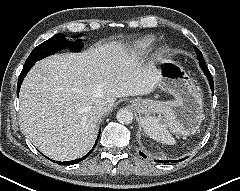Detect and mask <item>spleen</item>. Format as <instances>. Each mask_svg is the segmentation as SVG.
Masks as SVG:
<instances>
[{
    "label": "spleen",
    "instance_id": "3e777b00",
    "mask_svg": "<svg viewBox=\"0 0 240 191\" xmlns=\"http://www.w3.org/2000/svg\"><path fill=\"white\" fill-rule=\"evenodd\" d=\"M144 131L154 140L167 145H174L175 139L170 134L168 128L170 125L163 116H149L143 118ZM171 129V128H170Z\"/></svg>",
    "mask_w": 240,
    "mask_h": 191
}]
</instances>
